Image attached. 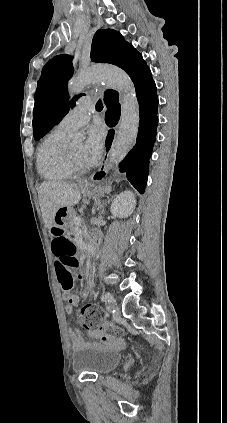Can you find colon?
<instances>
[{
    "label": "colon",
    "mask_w": 227,
    "mask_h": 423,
    "mask_svg": "<svg viewBox=\"0 0 227 423\" xmlns=\"http://www.w3.org/2000/svg\"><path fill=\"white\" fill-rule=\"evenodd\" d=\"M52 234V251L56 257L57 277L64 293H71L78 273L75 246L61 228H54ZM79 321L88 330L107 329L114 334L118 333L117 329L105 324L102 311L98 306L92 304H87L82 308L79 313Z\"/></svg>",
    "instance_id": "colon-1"
}]
</instances>
